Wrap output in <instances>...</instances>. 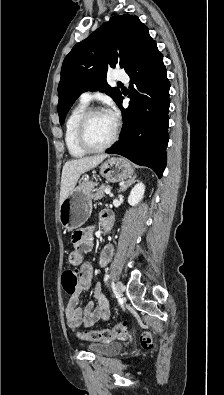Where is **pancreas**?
Here are the masks:
<instances>
[{
    "label": "pancreas",
    "mask_w": 224,
    "mask_h": 395,
    "mask_svg": "<svg viewBox=\"0 0 224 395\" xmlns=\"http://www.w3.org/2000/svg\"><path fill=\"white\" fill-rule=\"evenodd\" d=\"M105 189H110V186L101 185L99 188L96 189V192L91 195L92 199L96 201L105 197Z\"/></svg>",
    "instance_id": "cf45deb5"
}]
</instances>
